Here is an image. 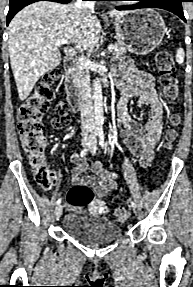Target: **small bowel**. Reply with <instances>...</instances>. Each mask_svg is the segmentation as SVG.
<instances>
[{
  "mask_svg": "<svg viewBox=\"0 0 193 287\" xmlns=\"http://www.w3.org/2000/svg\"><path fill=\"white\" fill-rule=\"evenodd\" d=\"M116 71L122 81L121 96L117 104V125L125 145L139 159L140 164L146 166L153 158L155 145L161 135L163 105L151 74L133 66L126 59L116 63ZM131 98L137 99L138 109L149 110L150 118L144 125L129 112L128 102ZM70 158L76 163L69 171L73 184H85L99 197H105L116 189V173L104 168L101 162L89 164L86 159H78L75 153Z\"/></svg>",
  "mask_w": 193,
  "mask_h": 287,
  "instance_id": "1",
  "label": "small bowel"
}]
</instances>
